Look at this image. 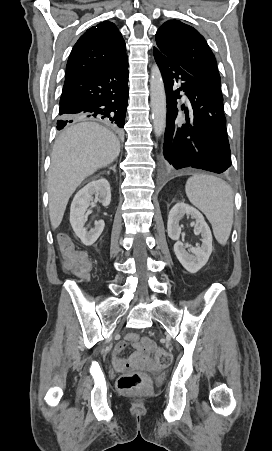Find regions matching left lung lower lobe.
Masks as SVG:
<instances>
[{
  "instance_id": "obj_1",
  "label": "left lung lower lobe",
  "mask_w": 272,
  "mask_h": 451,
  "mask_svg": "<svg viewBox=\"0 0 272 451\" xmlns=\"http://www.w3.org/2000/svg\"><path fill=\"white\" fill-rule=\"evenodd\" d=\"M153 49L167 100L164 165L168 169L192 167L214 173L225 172L231 166V154L223 99L157 47ZM177 84L181 85L178 89ZM181 90L186 92L193 109V115L189 117L187 112L183 123L176 119V99L181 98Z\"/></svg>"
}]
</instances>
